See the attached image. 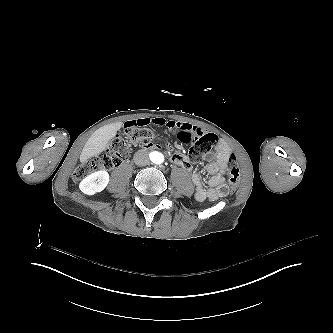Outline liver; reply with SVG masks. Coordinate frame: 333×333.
Wrapping results in <instances>:
<instances>
[{
	"instance_id": "obj_1",
	"label": "liver",
	"mask_w": 333,
	"mask_h": 333,
	"mask_svg": "<svg viewBox=\"0 0 333 333\" xmlns=\"http://www.w3.org/2000/svg\"><path fill=\"white\" fill-rule=\"evenodd\" d=\"M122 126L123 122H116L98 128L85 143L79 157L80 163L83 164L88 159L107 150Z\"/></svg>"
}]
</instances>
